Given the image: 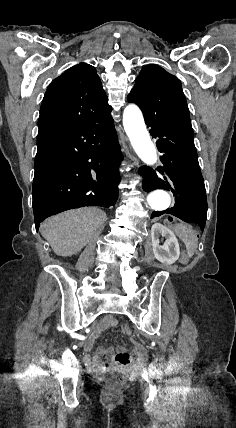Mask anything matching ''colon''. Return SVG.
I'll use <instances>...</instances> for the list:
<instances>
[{
  "instance_id": "obj_1",
  "label": "colon",
  "mask_w": 236,
  "mask_h": 428,
  "mask_svg": "<svg viewBox=\"0 0 236 428\" xmlns=\"http://www.w3.org/2000/svg\"><path fill=\"white\" fill-rule=\"evenodd\" d=\"M123 331L127 336H130L132 333L131 329L128 326H125L123 328ZM126 382H127L126 375L121 373H115L107 379V386L109 390L117 391L121 389L126 384Z\"/></svg>"
}]
</instances>
